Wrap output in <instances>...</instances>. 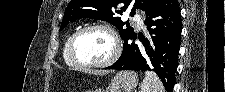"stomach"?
Here are the masks:
<instances>
[{
	"label": "stomach",
	"instance_id": "obj_1",
	"mask_svg": "<svg viewBox=\"0 0 225 92\" xmlns=\"http://www.w3.org/2000/svg\"><path fill=\"white\" fill-rule=\"evenodd\" d=\"M138 83V75L134 71L118 72L105 90L95 92H132Z\"/></svg>",
	"mask_w": 225,
	"mask_h": 92
}]
</instances>
